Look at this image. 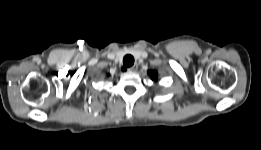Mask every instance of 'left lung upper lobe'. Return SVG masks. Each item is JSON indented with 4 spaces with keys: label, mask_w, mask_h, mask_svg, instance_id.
<instances>
[{
    "label": "left lung upper lobe",
    "mask_w": 261,
    "mask_h": 150,
    "mask_svg": "<svg viewBox=\"0 0 261 150\" xmlns=\"http://www.w3.org/2000/svg\"><path fill=\"white\" fill-rule=\"evenodd\" d=\"M148 74L150 75V77H151V79L152 80H155V81H157V71H154V70H150V71H148Z\"/></svg>",
    "instance_id": "left-lung-upper-lobe-1"
}]
</instances>
